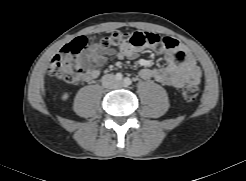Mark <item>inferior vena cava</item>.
Listing matches in <instances>:
<instances>
[{
  "label": "inferior vena cava",
  "mask_w": 246,
  "mask_h": 181,
  "mask_svg": "<svg viewBox=\"0 0 246 181\" xmlns=\"http://www.w3.org/2000/svg\"><path fill=\"white\" fill-rule=\"evenodd\" d=\"M102 85L105 88H116L117 80L113 74H106L101 79Z\"/></svg>",
  "instance_id": "1"
}]
</instances>
